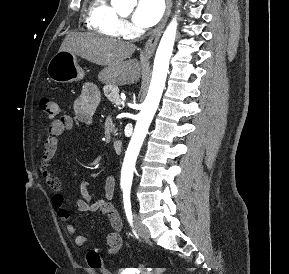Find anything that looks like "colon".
<instances>
[{"mask_svg": "<svg viewBox=\"0 0 289 274\" xmlns=\"http://www.w3.org/2000/svg\"><path fill=\"white\" fill-rule=\"evenodd\" d=\"M39 105L41 110L49 117L55 118L61 112V105L58 101L53 100L48 97H43L39 101ZM87 262L89 266L96 270H104V263L100 256V254L95 251L91 250L87 253ZM138 269L127 270L126 272L136 273ZM104 274H110L107 271H104Z\"/></svg>", "mask_w": 289, "mask_h": 274, "instance_id": "obj_1", "label": "colon"}]
</instances>
